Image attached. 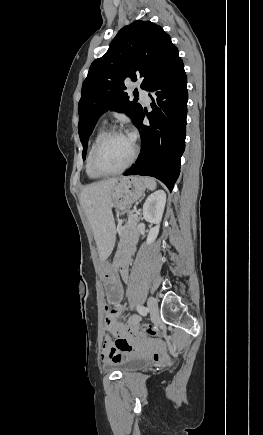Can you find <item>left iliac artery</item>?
<instances>
[{
    "label": "left iliac artery",
    "mask_w": 263,
    "mask_h": 435,
    "mask_svg": "<svg viewBox=\"0 0 263 435\" xmlns=\"http://www.w3.org/2000/svg\"><path fill=\"white\" fill-rule=\"evenodd\" d=\"M137 311L142 315V316H146L147 315V308L141 305L137 306Z\"/></svg>",
    "instance_id": "left-iliac-artery-1"
}]
</instances>
